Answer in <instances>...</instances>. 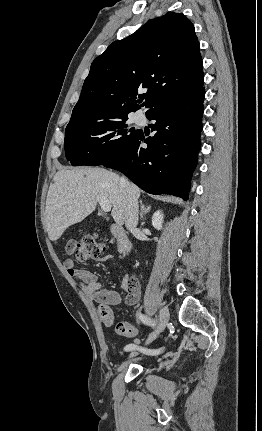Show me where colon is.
I'll list each match as a JSON object with an SVG mask.
<instances>
[{"mask_svg":"<svg viewBox=\"0 0 262 431\" xmlns=\"http://www.w3.org/2000/svg\"><path fill=\"white\" fill-rule=\"evenodd\" d=\"M104 245L92 236H86L80 239H70L65 251L68 255H75L80 262L93 261L100 257L104 251ZM101 320L105 323H113V319L107 315H100ZM116 332L119 335L133 337L135 329L124 322L117 323Z\"/></svg>","mask_w":262,"mask_h":431,"instance_id":"5ec220e1","label":"colon"}]
</instances>
